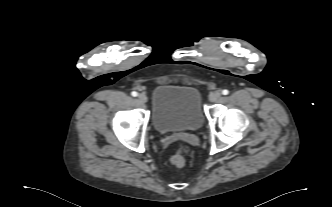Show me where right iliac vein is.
Masks as SVG:
<instances>
[{"mask_svg": "<svg viewBox=\"0 0 332 207\" xmlns=\"http://www.w3.org/2000/svg\"><path fill=\"white\" fill-rule=\"evenodd\" d=\"M138 100L141 103H146L147 102V96L145 94L141 93V94L138 95Z\"/></svg>", "mask_w": 332, "mask_h": 207, "instance_id": "1", "label": "right iliac vein"}]
</instances>
